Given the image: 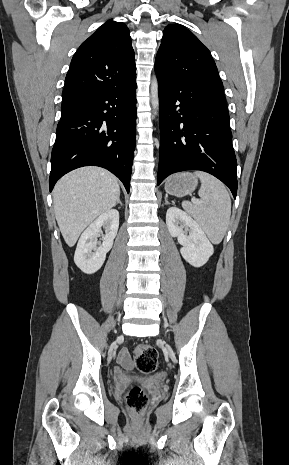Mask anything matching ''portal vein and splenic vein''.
Masks as SVG:
<instances>
[{
  "label": "portal vein and splenic vein",
  "instance_id": "portal-vein-and-splenic-vein-1",
  "mask_svg": "<svg viewBox=\"0 0 289 465\" xmlns=\"http://www.w3.org/2000/svg\"><path fill=\"white\" fill-rule=\"evenodd\" d=\"M198 202H199V201H197V200H194V203H198Z\"/></svg>",
  "mask_w": 289,
  "mask_h": 465
}]
</instances>
